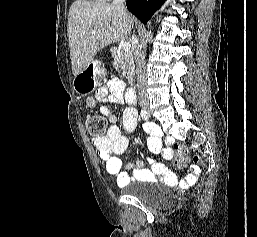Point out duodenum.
<instances>
[{
    "label": "duodenum",
    "mask_w": 257,
    "mask_h": 237,
    "mask_svg": "<svg viewBox=\"0 0 257 237\" xmlns=\"http://www.w3.org/2000/svg\"><path fill=\"white\" fill-rule=\"evenodd\" d=\"M126 98L127 101L131 104H134L136 102V95L133 88H128L126 91Z\"/></svg>",
    "instance_id": "1"
}]
</instances>
